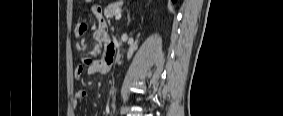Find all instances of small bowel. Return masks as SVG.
I'll list each match as a JSON object with an SVG mask.
<instances>
[{
  "instance_id": "1",
  "label": "small bowel",
  "mask_w": 283,
  "mask_h": 116,
  "mask_svg": "<svg viewBox=\"0 0 283 116\" xmlns=\"http://www.w3.org/2000/svg\"><path fill=\"white\" fill-rule=\"evenodd\" d=\"M94 16L98 19V27L94 31V39L99 43H107V49L102 59H86L83 58L79 65L75 68V78L77 81H80L86 73L89 76L96 74H105L109 71L110 63L108 59L114 57L115 47L108 39L107 24L103 18L102 9L99 6H94L92 8ZM87 29V26L81 23L77 29V35H83ZM79 49L83 48V44L78 45ZM96 50H99V47H96ZM88 91L85 89H78L75 92V99L77 101L84 100L88 98Z\"/></svg>"
}]
</instances>
